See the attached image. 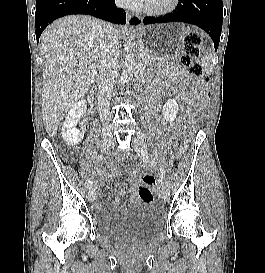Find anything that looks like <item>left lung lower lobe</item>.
I'll list each match as a JSON object with an SVG mask.
<instances>
[{
  "label": "left lung lower lobe",
  "instance_id": "0a47b994",
  "mask_svg": "<svg viewBox=\"0 0 265 273\" xmlns=\"http://www.w3.org/2000/svg\"><path fill=\"white\" fill-rule=\"evenodd\" d=\"M222 21V0H180L174 12L157 18H144L143 23L185 22L197 25L210 35L217 50Z\"/></svg>",
  "mask_w": 265,
  "mask_h": 273
}]
</instances>
